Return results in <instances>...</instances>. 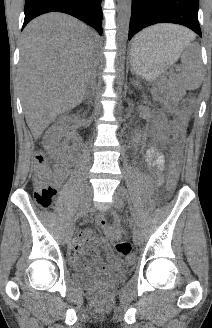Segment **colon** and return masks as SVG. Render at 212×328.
<instances>
[{"instance_id":"1","label":"colon","mask_w":212,"mask_h":328,"mask_svg":"<svg viewBox=\"0 0 212 328\" xmlns=\"http://www.w3.org/2000/svg\"><path fill=\"white\" fill-rule=\"evenodd\" d=\"M53 171L47 164L46 156L43 152H38L34 158V171H33V182H34V199L36 203L43 209H48L53 202L56 195V189L53 187L49 180L52 179ZM179 176V158L176 153L173 157V161L169 170L167 180V192L171 195L174 191ZM119 238L117 235L116 239ZM117 252L126 257L129 262L134 260L132 255V247L128 241H119L116 244Z\"/></svg>"}]
</instances>
